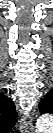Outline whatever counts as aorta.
Listing matches in <instances>:
<instances>
[{
	"label": "aorta",
	"mask_w": 53,
	"mask_h": 133,
	"mask_svg": "<svg viewBox=\"0 0 53 133\" xmlns=\"http://www.w3.org/2000/svg\"><path fill=\"white\" fill-rule=\"evenodd\" d=\"M52 117L50 114H44L41 117H39L37 121V129L38 131H43L45 129L51 128L52 126Z\"/></svg>",
	"instance_id": "1"
}]
</instances>
